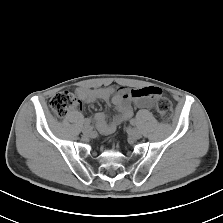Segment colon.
I'll return each instance as SVG.
<instances>
[{"label":"colon","mask_w":223,"mask_h":223,"mask_svg":"<svg viewBox=\"0 0 223 223\" xmlns=\"http://www.w3.org/2000/svg\"><path fill=\"white\" fill-rule=\"evenodd\" d=\"M156 95L155 108L158 117L165 122H169L173 117V110L168 98L159 94L158 90H153ZM77 98L70 92L63 91L56 93L50 100V108L58 117H63L66 113L76 107Z\"/></svg>","instance_id":"1"}]
</instances>
